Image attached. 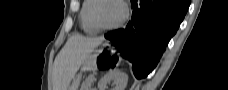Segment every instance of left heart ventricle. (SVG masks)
Returning a JSON list of instances; mask_svg holds the SVG:
<instances>
[{
  "instance_id": "left-heart-ventricle-1",
  "label": "left heart ventricle",
  "mask_w": 228,
  "mask_h": 90,
  "mask_svg": "<svg viewBox=\"0 0 228 90\" xmlns=\"http://www.w3.org/2000/svg\"><path fill=\"white\" fill-rule=\"evenodd\" d=\"M95 15L102 26H110L120 20L122 7L115 1H103L98 4Z\"/></svg>"
}]
</instances>
